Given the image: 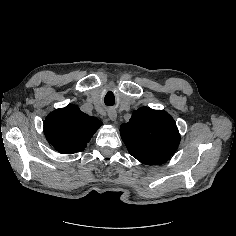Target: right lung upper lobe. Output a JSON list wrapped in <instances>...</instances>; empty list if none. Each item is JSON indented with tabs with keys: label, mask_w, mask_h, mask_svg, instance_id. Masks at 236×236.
I'll return each instance as SVG.
<instances>
[{
	"label": "right lung upper lobe",
	"mask_w": 236,
	"mask_h": 236,
	"mask_svg": "<svg viewBox=\"0 0 236 236\" xmlns=\"http://www.w3.org/2000/svg\"><path fill=\"white\" fill-rule=\"evenodd\" d=\"M102 122L68 105L51 112L44 122L48 142L62 154L81 152Z\"/></svg>",
	"instance_id": "obj_1"
}]
</instances>
